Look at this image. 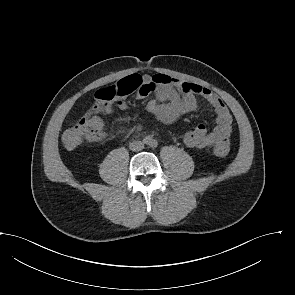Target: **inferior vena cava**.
Returning <instances> with one entry per match:
<instances>
[{
	"instance_id": "obj_1",
	"label": "inferior vena cava",
	"mask_w": 295,
	"mask_h": 295,
	"mask_svg": "<svg viewBox=\"0 0 295 295\" xmlns=\"http://www.w3.org/2000/svg\"><path fill=\"white\" fill-rule=\"evenodd\" d=\"M130 150L132 151H140L144 148V144L142 141H133L132 143H130L129 146Z\"/></svg>"
}]
</instances>
